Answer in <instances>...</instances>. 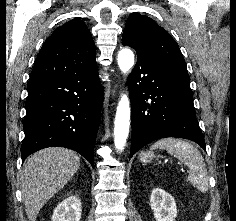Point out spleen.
Returning <instances> with one entry per match:
<instances>
[{"label": "spleen", "mask_w": 236, "mask_h": 221, "mask_svg": "<svg viewBox=\"0 0 236 221\" xmlns=\"http://www.w3.org/2000/svg\"><path fill=\"white\" fill-rule=\"evenodd\" d=\"M164 149L168 153L177 157L185 163L190 170L188 180L200 192H207L209 179L207 175L206 164L201 153L192 144L187 141L175 138H163L156 141L151 150Z\"/></svg>", "instance_id": "1"}]
</instances>
